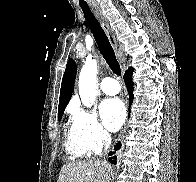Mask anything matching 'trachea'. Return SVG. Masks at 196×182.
Listing matches in <instances>:
<instances>
[{"label": "trachea", "mask_w": 196, "mask_h": 182, "mask_svg": "<svg viewBox=\"0 0 196 182\" xmlns=\"http://www.w3.org/2000/svg\"><path fill=\"white\" fill-rule=\"evenodd\" d=\"M81 8L84 13L87 26L91 30L95 38V41L98 45V48L101 54L103 55L106 63L113 71V73L120 76L121 75L120 64L117 61L115 52L109 42L107 35L105 34L104 30L102 29L96 17L91 12L90 8L87 6H81Z\"/></svg>", "instance_id": "1"}]
</instances>
